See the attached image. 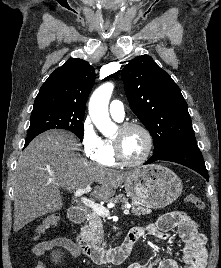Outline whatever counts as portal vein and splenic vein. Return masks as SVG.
<instances>
[{
  "instance_id": "obj_1",
  "label": "portal vein and splenic vein",
  "mask_w": 221,
  "mask_h": 268,
  "mask_svg": "<svg viewBox=\"0 0 221 268\" xmlns=\"http://www.w3.org/2000/svg\"><path fill=\"white\" fill-rule=\"evenodd\" d=\"M91 186L90 185H88V186H86L85 188H82V189H77L76 191H75V196L76 197H78V198H80V200H81V202L86 206V207H89V208H91L96 214H98L99 216H102V217H107V216H109V210L106 208V207H104V206H102V205H100V204H98V203H96V202H94V201H92V200H90V199H88V198H86V197H83V194H85V193H87V192H90L91 191ZM129 208L130 207H126L125 209H124V211H123V213L125 214V215H128L129 214Z\"/></svg>"
}]
</instances>
